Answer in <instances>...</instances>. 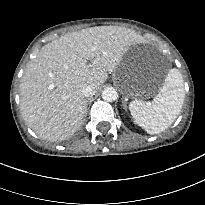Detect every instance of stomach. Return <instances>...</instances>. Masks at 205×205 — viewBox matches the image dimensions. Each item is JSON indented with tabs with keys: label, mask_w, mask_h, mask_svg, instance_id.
Listing matches in <instances>:
<instances>
[{
	"label": "stomach",
	"mask_w": 205,
	"mask_h": 205,
	"mask_svg": "<svg viewBox=\"0 0 205 205\" xmlns=\"http://www.w3.org/2000/svg\"><path fill=\"white\" fill-rule=\"evenodd\" d=\"M113 78L123 93L131 98H146L157 91L152 83L142 79L139 65L129 53L114 70Z\"/></svg>",
	"instance_id": "0dacf381"
}]
</instances>
